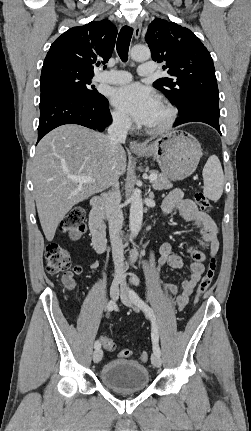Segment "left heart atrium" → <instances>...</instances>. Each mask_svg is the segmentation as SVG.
<instances>
[{"label":"left heart atrium","mask_w":251,"mask_h":431,"mask_svg":"<svg viewBox=\"0 0 251 431\" xmlns=\"http://www.w3.org/2000/svg\"><path fill=\"white\" fill-rule=\"evenodd\" d=\"M113 105L140 124H147L159 104L156 95L147 87L132 83L116 88L111 97Z\"/></svg>","instance_id":"left-heart-atrium-1"}]
</instances>
